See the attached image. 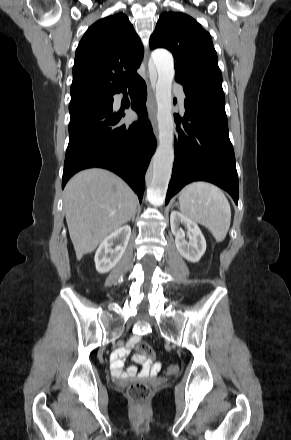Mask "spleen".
<instances>
[{"label": "spleen", "mask_w": 291, "mask_h": 440, "mask_svg": "<svg viewBox=\"0 0 291 440\" xmlns=\"http://www.w3.org/2000/svg\"><path fill=\"white\" fill-rule=\"evenodd\" d=\"M180 210L189 219L209 229L217 242H222L231 222L230 204L215 185L197 181L185 186L179 195Z\"/></svg>", "instance_id": "obj_1"}]
</instances>
